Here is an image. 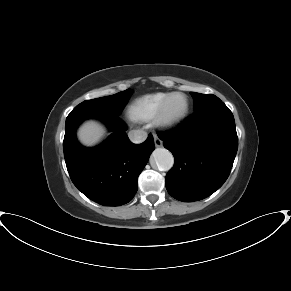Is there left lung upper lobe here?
I'll list each match as a JSON object with an SVG mask.
<instances>
[{
	"mask_svg": "<svg viewBox=\"0 0 291 291\" xmlns=\"http://www.w3.org/2000/svg\"><path fill=\"white\" fill-rule=\"evenodd\" d=\"M190 94L194 99L195 112H199L212 106L213 104L222 102L217 96L213 94H200L195 92H191Z\"/></svg>",
	"mask_w": 291,
	"mask_h": 291,
	"instance_id": "5c2ea615",
	"label": "left lung upper lobe"
}]
</instances>
